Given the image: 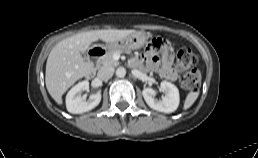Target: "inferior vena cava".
<instances>
[{"label": "inferior vena cava", "mask_w": 258, "mask_h": 158, "mask_svg": "<svg viewBox=\"0 0 258 158\" xmlns=\"http://www.w3.org/2000/svg\"><path fill=\"white\" fill-rule=\"evenodd\" d=\"M114 74V68L111 66H103L97 73L99 79L105 81L110 79Z\"/></svg>", "instance_id": "602c4592"}]
</instances>
